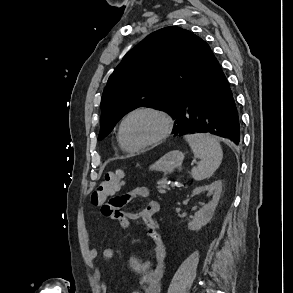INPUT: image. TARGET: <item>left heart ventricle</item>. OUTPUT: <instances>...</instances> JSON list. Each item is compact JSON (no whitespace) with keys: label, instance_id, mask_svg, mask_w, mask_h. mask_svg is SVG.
Wrapping results in <instances>:
<instances>
[{"label":"left heart ventricle","instance_id":"b2bd125f","mask_svg":"<svg viewBox=\"0 0 293 293\" xmlns=\"http://www.w3.org/2000/svg\"><path fill=\"white\" fill-rule=\"evenodd\" d=\"M162 129L161 120L149 113L132 116L124 126V135L131 145L145 143L156 137Z\"/></svg>","mask_w":293,"mask_h":293}]
</instances>
